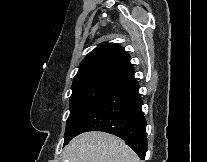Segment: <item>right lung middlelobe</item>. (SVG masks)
<instances>
[{
    "label": "right lung middle lobe",
    "mask_w": 207,
    "mask_h": 162,
    "mask_svg": "<svg viewBox=\"0 0 207 162\" xmlns=\"http://www.w3.org/2000/svg\"><path fill=\"white\" fill-rule=\"evenodd\" d=\"M115 88L110 86H89L75 89L70 98V115L67 120L64 145L85 117Z\"/></svg>",
    "instance_id": "obj_1"
}]
</instances>
